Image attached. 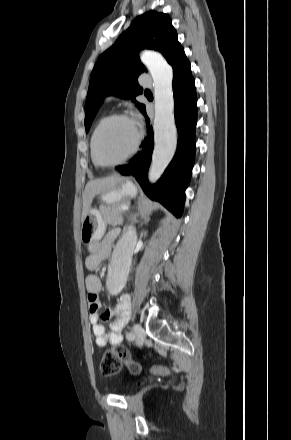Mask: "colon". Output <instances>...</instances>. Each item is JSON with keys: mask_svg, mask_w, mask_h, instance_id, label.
<instances>
[{"mask_svg": "<svg viewBox=\"0 0 291 440\" xmlns=\"http://www.w3.org/2000/svg\"><path fill=\"white\" fill-rule=\"evenodd\" d=\"M102 320L106 321L107 317ZM122 363L128 367L131 373L140 372V364L131 358L127 348L121 344H116L105 352L100 362V371L105 376L116 375L119 373Z\"/></svg>", "mask_w": 291, "mask_h": 440, "instance_id": "1", "label": "colon"}]
</instances>
